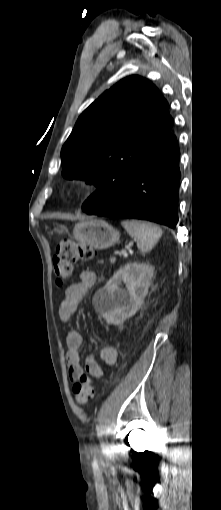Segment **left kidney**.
<instances>
[{"label": "left kidney", "instance_id": "left-kidney-1", "mask_svg": "<svg viewBox=\"0 0 221 510\" xmlns=\"http://www.w3.org/2000/svg\"><path fill=\"white\" fill-rule=\"evenodd\" d=\"M154 267L149 264L127 263L116 271L106 285L93 297L95 311L107 324L120 325L136 314L148 294ZM126 284V289L119 287Z\"/></svg>", "mask_w": 221, "mask_h": 510}]
</instances>
